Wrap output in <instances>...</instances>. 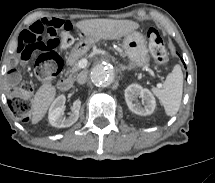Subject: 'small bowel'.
Listing matches in <instances>:
<instances>
[{
	"label": "small bowel",
	"mask_w": 215,
	"mask_h": 183,
	"mask_svg": "<svg viewBox=\"0 0 215 183\" xmlns=\"http://www.w3.org/2000/svg\"><path fill=\"white\" fill-rule=\"evenodd\" d=\"M30 26H31V25H30ZM30 26H29V29H30ZM70 28H71V25H70ZM18 79H19V78H18V76H17V75H15V76H14V81H13V82H14V83H15V82H17V81H18Z\"/></svg>",
	"instance_id": "obj_1"
}]
</instances>
